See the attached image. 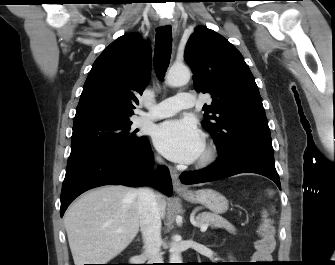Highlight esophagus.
I'll list each match as a JSON object with an SVG mask.
<instances>
[{
    "instance_id": "34e87169",
    "label": "esophagus",
    "mask_w": 335,
    "mask_h": 265,
    "mask_svg": "<svg viewBox=\"0 0 335 265\" xmlns=\"http://www.w3.org/2000/svg\"><path fill=\"white\" fill-rule=\"evenodd\" d=\"M170 20L168 18H161L160 19V25L161 26H169L170 25ZM171 178H172V183H173V188L176 192H185L187 191V188L183 186L180 182L179 174L176 170L171 169L170 170Z\"/></svg>"
}]
</instances>
